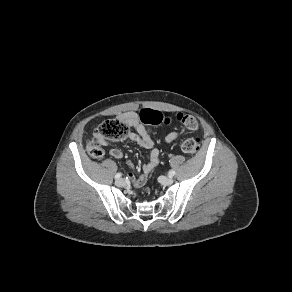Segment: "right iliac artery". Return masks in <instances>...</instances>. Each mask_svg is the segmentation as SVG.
<instances>
[{
	"label": "right iliac artery",
	"instance_id": "82829eb1",
	"mask_svg": "<svg viewBox=\"0 0 292 292\" xmlns=\"http://www.w3.org/2000/svg\"><path fill=\"white\" fill-rule=\"evenodd\" d=\"M121 173H117L116 175H115V179H119L120 177H121Z\"/></svg>",
	"mask_w": 292,
	"mask_h": 292
}]
</instances>
